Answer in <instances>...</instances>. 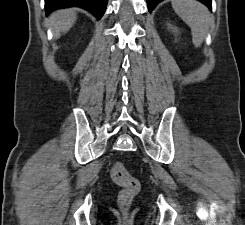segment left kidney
I'll list each match as a JSON object with an SVG mask.
<instances>
[{"instance_id":"left-kidney-1","label":"left kidney","mask_w":245,"mask_h":225,"mask_svg":"<svg viewBox=\"0 0 245 225\" xmlns=\"http://www.w3.org/2000/svg\"><path fill=\"white\" fill-rule=\"evenodd\" d=\"M168 28L171 29V31H172L173 33H175V34L179 33L177 27H174V26H172V25H168Z\"/></svg>"}]
</instances>
